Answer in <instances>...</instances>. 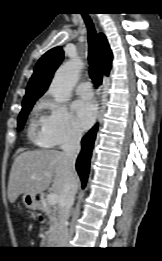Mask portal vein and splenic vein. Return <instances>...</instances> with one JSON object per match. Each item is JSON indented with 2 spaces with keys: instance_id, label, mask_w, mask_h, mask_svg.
I'll return each mask as SVG.
<instances>
[{
  "instance_id": "1",
  "label": "portal vein and splenic vein",
  "mask_w": 162,
  "mask_h": 261,
  "mask_svg": "<svg viewBox=\"0 0 162 261\" xmlns=\"http://www.w3.org/2000/svg\"><path fill=\"white\" fill-rule=\"evenodd\" d=\"M32 179H35V177L32 176ZM47 202L50 206H55L59 202V196L55 193H51L47 196Z\"/></svg>"
}]
</instances>
